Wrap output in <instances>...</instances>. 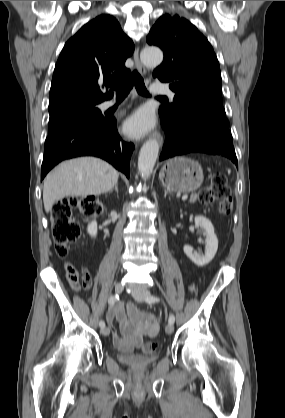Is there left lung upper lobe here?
<instances>
[{"mask_svg": "<svg viewBox=\"0 0 285 418\" xmlns=\"http://www.w3.org/2000/svg\"><path fill=\"white\" fill-rule=\"evenodd\" d=\"M147 43L164 52L153 77L169 83L172 104L159 108L160 119L176 124L196 112L226 117L222 105L220 66L208 40L188 20L165 14L147 36Z\"/></svg>", "mask_w": 285, "mask_h": 418, "instance_id": "obj_1", "label": "left lung upper lobe"}]
</instances>
